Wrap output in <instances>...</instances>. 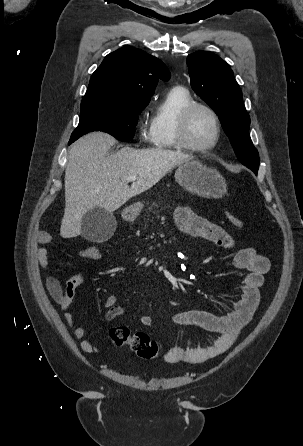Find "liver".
I'll list each match as a JSON object with an SVG mask.
<instances>
[{"label":"liver","mask_w":303,"mask_h":446,"mask_svg":"<svg viewBox=\"0 0 303 446\" xmlns=\"http://www.w3.org/2000/svg\"><path fill=\"white\" fill-rule=\"evenodd\" d=\"M115 139L106 133H89L76 141L65 170V210L60 235L81 234L83 216L100 207L108 212L158 183L172 168L192 159L182 152L123 147L106 157ZM129 176L137 180L128 185Z\"/></svg>","instance_id":"6515ba94"}]
</instances>
